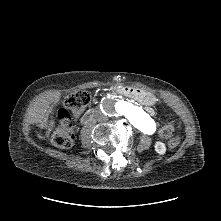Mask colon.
<instances>
[{
	"label": "colon",
	"instance_id": "5ec220e1",
	"mask_svg": "<svg viewBox=\"0 0 221 221\" xmlns=\"http://www.w3.org/2000/svg\"><path fill=\"white\" fill-rule=\"evenodd\" d=\"M90 102V95L86 91H78L69 95L65 101V108L59 109L57 115L59 125L52 135L53 143L59 148H70L75 141V130L71 123L72 117L79 116ZM163 139H169V146L176 147L181 139L175 134L171 123L165 124L159 130Z\"/></svg>",
	"mask_w": 221,
	"mask_h": 221
}]
</instances>
